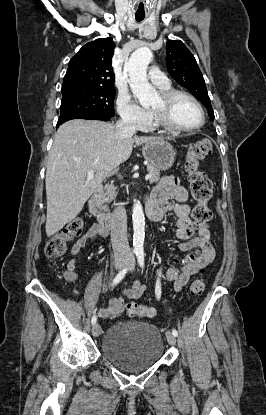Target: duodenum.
Listing matches in <instances>:
<instances>
[{
	"label": "duodenum",
	"mask_w": 266,
	"mask_h": 415,
	"mask_svg": "<svg viewBox=\"0 0 266 415\" xmlns=\"http://www.w3.org/2000/svg\"><path fill=\"white\" fill-rule=\"evenodd\" d=\"M102 194L103 187L99 185L94 189L88 201V210L89 213L97 219L100 226L104 230L109 231L113 225L114 216L100 209V201Z\"/></svg>",
	"instance_id": "1"
}]
</instances>
